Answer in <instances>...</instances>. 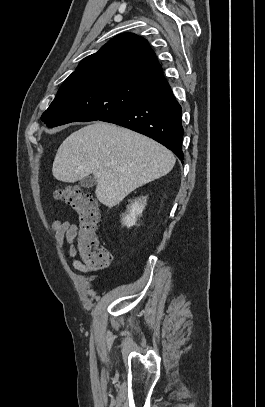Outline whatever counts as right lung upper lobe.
Returning a JSON list of instances; mask_svg holds the SVG:
<instances>
[{
	"label": "right lung upper lobe",
	"mask_w": 265,
	"mask_h": 407,
	"mask_svg": "<svg viewBox=\"0 0 265 407\" xmlns=\"http://www.w3.org/2000/svg\"><path fill=\"white\" fill-rule=\"evenodd\" d=\"M87 74L132 80L155 88L166 82L148 42L132 33L111 39L98 52L84 58L69 77Z\"/></svg>",
	"instance_id": "obj_1"
}]
</instances>
